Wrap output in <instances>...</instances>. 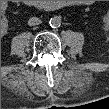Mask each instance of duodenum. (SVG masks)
<instances>
[{"mask_svg":"<svg viewBox=\"0 0 109 109\" xmlns=\"http://www.w3.org/2000/svg\"><path fill=\"white\" fill-rule=\"evenodd\" d=\"M26 5L29 7L39 8L42 10H50L54 8V5L47 1H26Z\"/></svg>","mask_w":109,"mask_h":109,"instance_id":"duodenum-1","label":"duodenum"}]
</instances>
